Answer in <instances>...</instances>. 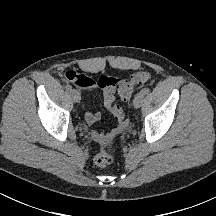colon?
<instances>
[{"instance_id":"1","label":"colon","mask_w":216,"mask_h":216,"mask_svg":"<svg viewBox=\"0 0 216 216\" xmlns=\"http://www.w3.org/2000/svg\"><path fill=\"white\" fill-rule=\"evenodd\" d=\"M65 76L73 82H77L82 78V75L75 71H68ZM151 77L152 74L150 72L142 71L134 73L128 80H120L117 77L109 75H102L99 78L97 83L103 91L104 102L120 125H124V111L122 106L114 101V93L117 92L120 100L124 102L131 97L136 86L146 83ZM112 146L113 142L108 140L106 142V149L101 150L95 155L94 163L98 167L104 168L112 163V155L110 152Z\"/></svg>"}]
</instances>
